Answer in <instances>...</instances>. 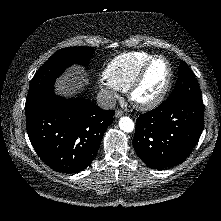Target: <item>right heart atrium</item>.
Wrapping results in <instances>:
<instances>
[{"instance_id": "right-heart-atrium-1", "label": "right heart atrium", "mask_w": 221, "mask_h": 221, "mask_svg": "<svg viewBox=\"0 0 221 221\" xmlns=\"http://www.w3.org/2000/svg\"><path fill=\"white\" fill-rule=\"evenodd\" d=\"M99 86L101 90L106 94L108 98H114L118 96V89H116L112 84L107 80L101 79L99 81Z\"/></svg>"}]
</instances>
